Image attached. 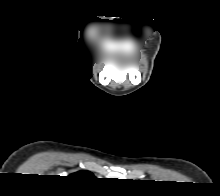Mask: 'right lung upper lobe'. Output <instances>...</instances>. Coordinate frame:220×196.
I'll return each instance as SVG.
<instances>
[{
    "label": "right lung upper lobe",
    "instance_id": "right-lung-upper-lobe-1",
    "mask_svg": "<svg viewBox=\"0 0 220 196\" xmlns=\"http://www.w3.org/2000/svg\"><path fill=\"white\" fill-rule=\"evenodd\" d=\"M70 176L75 178H91L94 177L89 171H79L77 173L71 174Z\"/></svg>",
    "mask_w": 220,
    "mask_h": 196
}]
</instances>
